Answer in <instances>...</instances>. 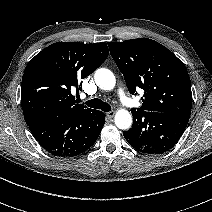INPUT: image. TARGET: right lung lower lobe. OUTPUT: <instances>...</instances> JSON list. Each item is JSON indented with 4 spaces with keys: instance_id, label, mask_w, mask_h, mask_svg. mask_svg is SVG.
<instances>
[{
    "instance_id": "1",
    "label": "right lung lower lobe",
    "mask_w": 212,
    "mask_h": 212,
    "mask_svg": "<svg viewBox=\"0 0 212 212\" xmlns=\"http://www.w3.org/2000/svg\"><path fill=\"white\" fill-rule=\"evenodd\" d=\"M104 123V113L92 110L62 118L47 117L28 126L46 151L58 157H74L96 142Z\"/></svg>"
}]
</instances>
